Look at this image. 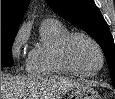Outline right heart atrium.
I'll return each instance as SVG.
<instances>
[{
    "instance_id": "obj_1",
    "label": "right heart atrium",
    "mask_w": 115,
    "mask_h": 99,
    "mask_svg": "<svg viewBox=\"0 0 115 99\" xmlns=\"http://www.w3.org/2000/svg\"><path fill=\"white\" fill-rule=\"evenodd\" d=\"M28 38V28L21 27L16 33L10 47L11 56L14 60L21 62L23 60V46Z\"/></svg>"
}]
</instances>
